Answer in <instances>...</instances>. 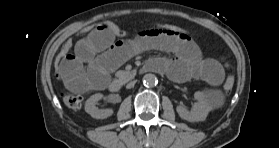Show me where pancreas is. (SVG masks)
Segmentation results:
<instances>
[{"mask_svg":"<svg viewBox=\"0 0 279 148\" xmlns=\"http://www.w3.org/2000/svg\"><path fill=\"white\" fill-rule=\"evenodd\" d=\"M136 74V71H124V70H119L116 72V77L122 81V82H126L129 79L133 78Z\"/></svg>","mask_w":279,"mask_h":148,"instance_id":"obj_1","label":"pancreas"}]
</instances>
